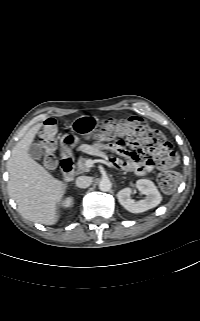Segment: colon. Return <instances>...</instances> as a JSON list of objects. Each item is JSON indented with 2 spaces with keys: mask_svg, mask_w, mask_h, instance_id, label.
<instances>
[{
  "mask_svg": "<svg viewBox=\"0 0 200 321\" xmlns=\"http://www.w3.org/2000/svg\"><path fill=\"white\" fill-rule=\"evenodd\" d=\"M55 134L56 124L52 119H48L40 132V140L45 150L44 162L49 168L56 164ZM95 136L101 141L120 143L155 160L159 165L157 180L162 191L172 193L177 188L179 183V172L176 170L178 155L165 136L142 118L132 117L118 123L110 120L102 121L98 125Z\"/></svg>",
  "mask_w": 200,
  "mask_h": 321,
  "instance_id": "obj_1",
  "label": "colon"
}]
</instances>
